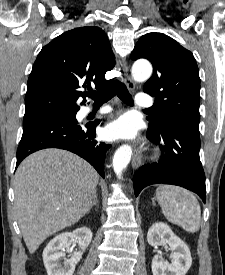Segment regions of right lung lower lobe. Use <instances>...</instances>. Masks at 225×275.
Returning <instances> with one entry per match:
<instances>
[{
  "instance_id": "obj_1",
  "label": "right lung lower lobe",
  "mask_w": 225,
  "mask_h": 275,
  "mask_svg": "<svg viewBox=\"0 0 225 275\" xmlns=\"http://www.w3.org/2000/svg\"><path fill=\"white\" fill-rule=\"evenodd\" d=\"M100 123L78 124L75 118L54 113H40L23 119V135L17 150V163L44 148H61L87 160L104 177V160L111 145L96 140L95 128Z\"/></svg>"
}]
</instances>
